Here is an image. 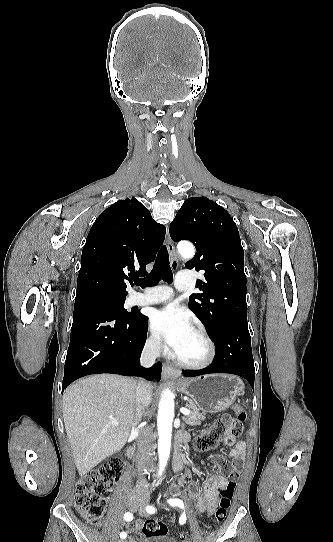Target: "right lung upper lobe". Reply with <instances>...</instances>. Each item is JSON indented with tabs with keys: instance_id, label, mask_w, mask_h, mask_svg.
Wrapping results in <instances>:
<instances>
[{
	"instance_id": "obj_1",
	"label": "right lung upper lobe",
	"mask_w": 333,
	"mask_h": 542,
	"mask_svg": "<svg viewBox=\"0 0 333 542\" xmlns=\"http://www.w3.org/2000/svg\"><path fill=\"white\" fill-rule=\"evenodd\" d=\"M165 227L156 223L150 212L135 198L112 204L94 222L81 256L76 298L95 292L127 295L125 281L146 275L165 238ZM94 249L109 252L101 264L88 261ZM138 277V276H137Z\"/></svg>"
}]
</instances>
